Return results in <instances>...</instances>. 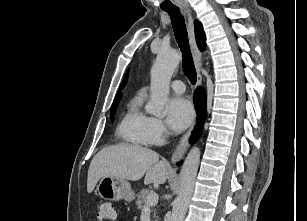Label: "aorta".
<instances>
[{
	"label": "aorta",
	"mask_w": 307,
	"mask_h": 221,
	"mask_svg": "<svg viewBox=\"0 0 307 221\" xmlns=\"http://www.w3.org/2000/svg\"><path fill=\"white\" fill-rule=\"evenodd\" d=\"M181 55L174 49L161 50L151 69V99L146 111L156 117H164V107L169 96L171 77L177 68ZM200 163V149L192 148L180 172L179 193L174 201L169 221H183L194 192L195 180Z\"/></svg>",
	"instance_id": "aorta-1"
}]
</instances>
